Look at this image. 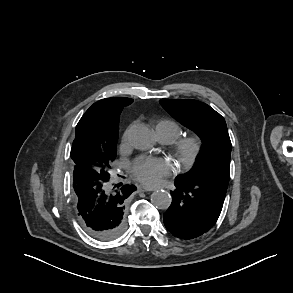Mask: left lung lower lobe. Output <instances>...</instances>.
I'll list each match as a JSON object with an SVG mask.
<instances>
[{"label":"left lung lower lobe","mask_w":293,"mask_h":293,"mask_svg":"<svg viewBox=\"0 0 293 293\" xmlns=\"http://www.w3.org/2000/svg\"><path fill=\"white\" fill-rule=\"evenodd\" d=\"M171 191L172 203L164 213L167 230L181 239H193L207 232L217 221L227 187L206 185L181 178Z\"/></svg>","instance_id":"obj_1"}]
</instances>
